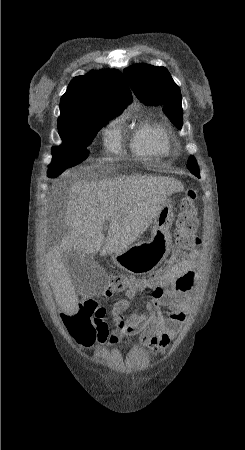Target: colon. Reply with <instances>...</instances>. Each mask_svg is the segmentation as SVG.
I'll return each instance as SVG.
<instances>
[{
    "label": "colon",
    "mask_w": 245,
    "mask_h": 450,
    "mask_svg": "<svg viewBox=\"0 0 245 450\" xmlns=\"http://www.w3.org/2000/svg\"><path fill=\"white\" fill-rule=\"evenodd\" d=\"M197 192L193 189L186 191L180 201V213L178 216L174 258L183 260L194 248L199 247L201 239L196 236L197 228ZM163 273V271H162ZM147 281H154L148 277ZM137 279L124 274H116L109 279V285L115 291H122L134 286ZM163 289L160 287V293ZM105 315V309L95 300L82 296V302L78 305L75 313L68 315L64 320V326L68 334L79 342H92L96 337V325L101 322Z\"/></svg>",
    "instance_id": "colon-1"
}]
</instances>
